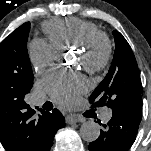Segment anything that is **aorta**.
<instances>
[{
	"label": "aorta",
	"instance_id": "1",
	"mask_svg": "<svg viewBox=\"0 0 151 151\" xmlns=\"http://www.w3.org/2000/svg\"><path fill=\"white\" fill-rule=\"evenodd\" d=\"M100 136V126L94 121H87L80 127V137L86 142H93Z\"/></svg>",
	"mask_w": 151,
	"mask_h": 151
}]
</instances>
